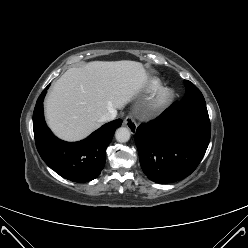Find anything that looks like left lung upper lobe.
Listing matches in <instances>:
<instances>
[{
  "mask_svg": "<svg viewBox=\"0 0 248 248\" xmlns=\"http://www.w3.org/2000/svg\"><path fill=\"white\" fill-rule=\"evenodd\" d=\"M184 83H185L186 93L183 99L187 98L188 96L202 95L200 90L192 82L188 80H184Z\"/></svg>",
  "mask_w": 248,
  "mask_h": 248,
  "instance_id": "1",
  "label": "left lung upper lobe"
}]
</instances>
